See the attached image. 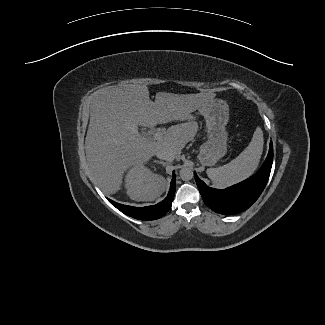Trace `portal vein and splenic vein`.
<instances>
[{
    "mask_svg": "<svg viewBox=\"0 0 325 325\" xmlns=\"http://www.w3.org/2000/svg\"><path fill=\"white\" fill-rule=\"evenodd\" d=\"M154 140H161L163 138V132L157 131L153 135Z\"/></svg>",
    "mask_w": 325,
    "mask_h": 325,
    "instance_id": "18ae733b",
    "label": "portal vein and splenic vein"
}]
</instances>
